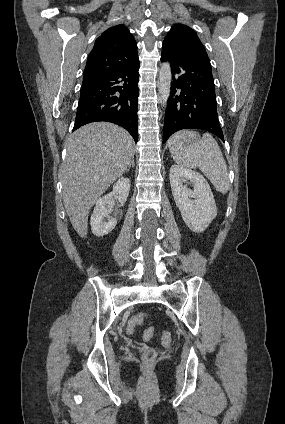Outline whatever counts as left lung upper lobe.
<instances>
[{"mask_svg": "<svg viewBox=\"0 0 285 424\" xmlns=\"http://www.w3.org/2000/svg\"><path fill=\"white\" fill-rule=\"evenodd\" d=\"M164 42L174 44L185 50L201 49L204 50L200 39L193 29L186 25L175 24L166 35Z\"/></svg>", "mask_w": 285, "mask_h": 424, "instance_id": "left-lung-upper-lobe-1", "label": "left lung upper lobe"}]
</instances>
